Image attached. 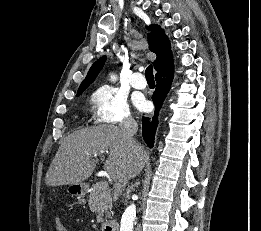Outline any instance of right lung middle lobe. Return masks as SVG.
<instances>
[{
  "label": "right lung middle lobe",
  "instance_id": "obj_1",
  "mask_svg": "<svg viewBox=\"0 0 261 231\" xmlns=\"http://www.w3.org/2000/svg\"><path fill=\"white\" fill-rule=\"evenodd\" d=\"M81 93H82V92H78V93H77V96H79Z\"/></svg>",
  "mask_w": 261,
  "mask_h": 231
}]
</instances>
